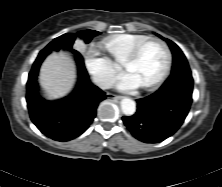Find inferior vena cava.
<instances>
[{"mask_svg": "<svg viewBox=\"0 0 222 187\" xmlns=\"http://www.w3.org/2000/svg\"><path fill=\"white\" fill-rule=\"evenodd\" d=\"M96 84L101 89H109L112 88V86L114 85V80L111 78H100L96 80Z\"/></svg>", "mask_w": 222, "mask_h": 187, "instance_id": "obj_1", "label": "inferior vena cava"}]
</instances>
